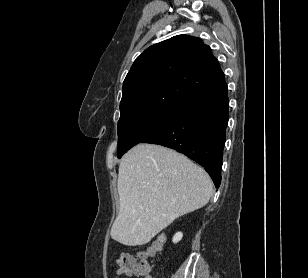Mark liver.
Masks as SVG:
<instances>
[{
	"label": "liver",
	"mask_w": 308,
	"mask_h": 278,
	"mask_svg": "<svg viewBox=\"0 0 308 278\" xmlns=\"http://www.w3.org/2000/svg\"><path fill=\"white\" fill-rule=\"evenodd\" d=\"M117 189L111 238L129 246L146 244L178 217L202 208L213 191L207 172L186 156L143 143L122 157Z\"/></svg>",
	"instance_id": "obj_1"
}]
</instances>
